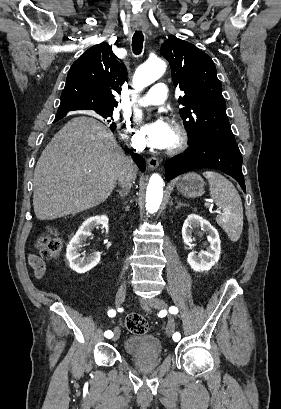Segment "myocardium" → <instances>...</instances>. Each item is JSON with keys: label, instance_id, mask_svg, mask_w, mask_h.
Here are the masks:
<instances>
[{"label": "myocardium", "instance_id": "myocardium-1", "mask_svg": "<svg viewBox=\"0 0 281 409\" xmlns=\"http://www.w3.org/2000/svg\"><path fill=\"white\" fill-rule=\"evenodd\" d=\"M175 135V142L168 148H165V154L174 156L181 153L188 145L189 134L186 128L180 124L174 123L170 127Z\"/></svg>", "mask_w": 281, "mask_h": 409}]
</instances>
